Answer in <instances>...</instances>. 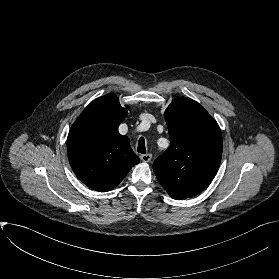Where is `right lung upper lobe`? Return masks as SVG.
I'll list each match as a JSON object with an SVG mask.
<instances>
[{"label": "right lung upper lobe", "mask_w": 279, "mask_h": 279, "mask_svg": "<svg viewBox=\"0 0 279 279\" xmlns=\"http://www.w3.org/2000/svg\"><path fill=\"white\" fill-rule=\"evenodd\" d=\"M127 114L118 98L108 94L92 102L71 127L70 165L78 179L96 191L112 190L139 163L128 137L118 132Z\"/></svg>", "instance_id": "1"}]
</instances>
